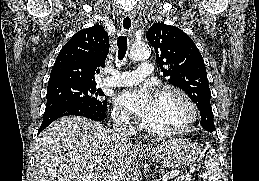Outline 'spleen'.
<instances>
[{"mask_svg": "<svg viewBox=\"0 0 259 181\" xmlns=\"http://www.w3.org/2000/svg\"><path fill=\"white\" fill-rule=\"evenodd\" d=\"M206 171L204 181H219L220 178V163L215 149L211 148L205 157Z\"/></svg>", "mask_w": 259, "mask_h": 181, "instance_id": "obj_1", "label": "spleen"}]
</instances>
